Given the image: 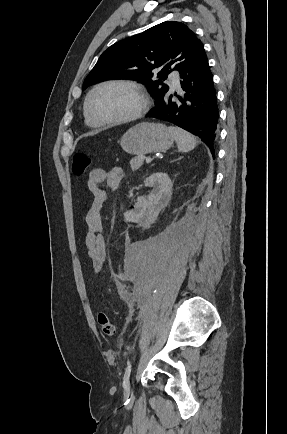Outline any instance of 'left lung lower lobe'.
I'll return each mask as SVG.
<instances>
[{"label":"left lung lower lobe","instance_id":"left-lung-lower-lobe-1","mask_svg":"<svg viewBox=\"0 0 287 434\" xmlns=\"http://www.w3.org/2000/svg\"><path fill=\"white\" fill-rule=\"evenodd\" d=\"M181 87L185 91L178 101L167 98V93L156 103L146 117L171 122L198 136L214 156L218 136L219 111L213 75L206 54L189 62L180 71Z\"/></svg>","mask_w":287,"mask_h":434}]
</instances>
